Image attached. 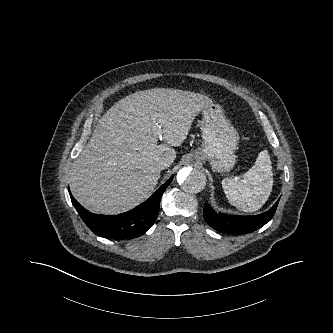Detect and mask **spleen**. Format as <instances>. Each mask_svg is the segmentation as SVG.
I'll list each match as a JSON object with an SVG mask.
<instances>
[{"label":"spleen","mask_w":333,"mask_h":333,"mask_svg":"<svg viewBox=\"0 0 333 333\" xmlns=\"http://www.w3.org/2000/svg\"><path fill=\"white\" fill-rule=\"evenodd\" d=\"M272 186V165L266 149L258 154L254 166L242 177L222 180V188L229 203L244 212L259 210L268 200Z\"/></svg>","instance_id":"1"}]
</instances>
